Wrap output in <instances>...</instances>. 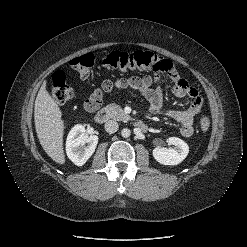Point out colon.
<instances>
[{"mask_svg": "<svg viewBox=\"0 0 247 247\" xmlns=\"http://www.w3.org/2000/svg\"><path fill=\"white\" fill-rule=\"evenodd\" d=\"M101 64L107 69L121 72L152 70L156 73H169L174 69L170 61L150 51L132 53L114 51L105 56ZM70 65L82 78L88 79L92 75L95 57L90 53L84 54L71 60ZM51 95L57 104H65L73 98L74 89L67 84L63 71H56L53 74ZM198 126L202 131L209 129L210 119L206 114L199 115Z\"/></svg>", "mask_w": 247, "mask_h": 247, "instance_id": "obj_1", "label": "colon"}]
</instances>
